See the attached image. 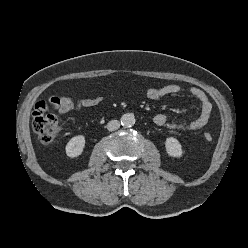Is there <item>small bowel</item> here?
<instances>
[{"label": "small bowel", "mask_w": 248, "mask_h": 248, "mask_svg": "<svg viewBox=\"0 0 248 248\" xmlns=\"http://www.w3.org/2000/svg\"><path fill=\"white\" fill-rule=\"evenodd\" d=\"M183 91L188 92L199 101L201 109L200 115L188 123H177L170 120L164 114H157L154 117V123L156 125L172 130H198L207 125L212 113V103L209 97L197 87L183 88L177 84H169L159 88H148L146 90V96L150 100H159L170 95L181 93ZM102 100L103 97L100 95L84 99H75L66 95L52 96L48 102L38 101L35 104L33 116H42L50 109L57 110L61 115H65L74 110L96 106L101 103Z\"/></svg>", "instance_id": "c3829d8e"}]
</instances>
